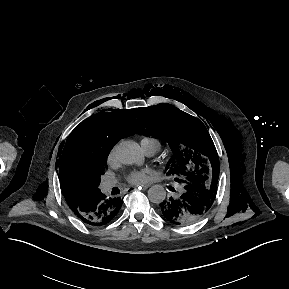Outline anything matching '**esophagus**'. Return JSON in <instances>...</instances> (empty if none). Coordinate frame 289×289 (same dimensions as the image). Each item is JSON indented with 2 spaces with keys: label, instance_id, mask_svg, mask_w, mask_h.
Returning a JSON list of instances; mask_svg holds the SVG:
<instances>
[{
  "label": "esophagus",
  "instance_id": "1",
  "mask_svg": "<svg viewBox=\"0 0 289 289\" xmlns=\"http://www.w3.org/2000/svg\"><path fill=\"white\" fill-rule=\"evenodd\" d=\"M150 187V184H146V185H142V188L143 189H147V188H149ZM136 189V188H135Z\"/></svg>",
  "mask_w": 289,
  "mask_h": 289
}]
</instances>
